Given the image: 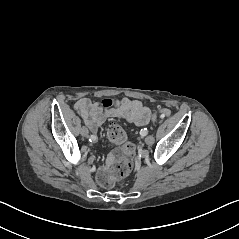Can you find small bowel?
<instances>
[{
  "label": "small bowel",
  "instance_id": "obj_1",
  "mask_svg": "<svg viewBox=\"0 0 239 239\" xmlns=\"http://www.w3.org/2000/svg\"><path fill=\"white\" fill-rule=\"evenodd\" d=\"M111 104L104 107L101 103L93 102L84 97L75 104V109L81 114L88 127L95 131L106 118L124 119L131 124L143 126L156 119L157 112H152L139 100L123 98L110 100Z\"/></svg>",
  "mask_w": 239,
  "mask_h": 239
}]
</instances>
